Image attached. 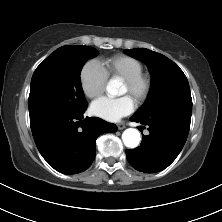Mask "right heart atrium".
Returning a JSON list of instances; mask_svg holds the SVG:
<instances>
[{"instance_id":"obj_1","label":"right heart atrium","mask_w":222,"mask_h":222,"mask_svg":"<svg viewBox=\"0 0 222 222\" xmlns=\"http://www.w3.org/2000/svg\"><path fill=\"white\" fill-rule=\"evenodd\" d=\"M79 80L84 95L93 99L103 93L107 75L97 61L90 60L81 68Z\"/></svg>"}]
</instances>
